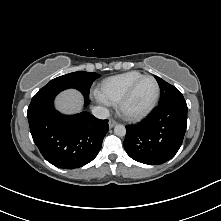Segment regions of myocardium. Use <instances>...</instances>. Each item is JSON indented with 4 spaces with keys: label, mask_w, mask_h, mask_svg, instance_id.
<instances>
[{
    "label": "myocardium",
    "mask_w": 221,
    "mask_h": 221,
    "mask_svg": "<svg viewBox=\"0 0 221 221\" xmlns=\"http://www.w3.org/2000/svg\"><path fill=\"white\" fill-rule=\"evenodd\" d=\"M145 79H151L155 83L156 92H155L154 98L151 101V103L143 110L136 111V112L130 111L128 109L129 101L131 100L137 86ZM159 96H160V86L158 84V81L151 75H143L142 77L137 79L135 82H133L132 85L128 88V90L125 92L123 97L118 102V108H119L120 113L126 119L132 120V121L141 120L152 112V110L155 108L158 102Z\"/></svg>",
    "instance_id": "myocardium-1"
}]
</instances>
